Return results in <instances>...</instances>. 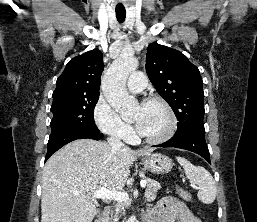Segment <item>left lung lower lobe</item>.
Here are the masks:
<instances>
[{"instance_id":"left-lung-lower-lobe-1","label":"left lung lower lobe","mask_w":257,"mask_h":222,"mask_svg":"<svg viewBox=\"0 0 257 222\" xmlns=\"http://www.w3.org/2000/svg\"><path fill=\"white\" fill-rule=\"evenodd\" d=\"M153 147H176L195 152L210 163V154L205 141V133L188 132L182 135H174L170 140Z\"/></svg>"}]
</instances>
